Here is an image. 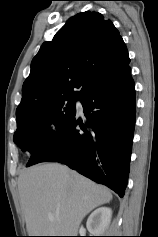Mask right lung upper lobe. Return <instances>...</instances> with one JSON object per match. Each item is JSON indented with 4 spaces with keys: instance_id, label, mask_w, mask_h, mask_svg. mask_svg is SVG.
Masks as SVG:
<instances>
[{
    "instance_id": "right-lung-upper-lobe-1",
    "label": "right lung upper lobe",
    "mask_w": 158,
    "mask_h": 237,
    "mask_svg": "<svg viewBox=\"0 0 158 237\" xmlns=\"http://www.w3.org/2000/svg\"><path fill=\"white\" fill-rule=\"evenodd\" d=\"M129 62L127 47L110 20L97 12L79 13L33 58L16 116L35 112L53 100L82 99Z\"/></svg>"
}]
</instances>
